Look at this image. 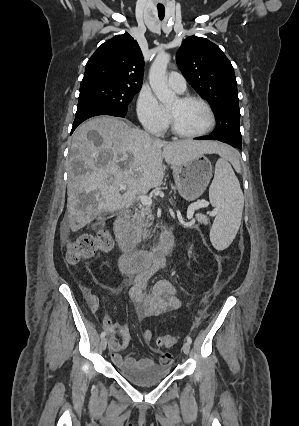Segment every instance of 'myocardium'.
I'll return each mask as SVG.
<instances>
[{
  "label": "myocardium",
  "instance_id": "obj_1",
  "mask_svg": "<svg viewBox=\"0 0 299 426\" xmlns=\"http://www.w3.org/2000/svg\"><path fill=\"white\" fill-rule=\"evenodd\" d=\"M178 100L181 103H187V102H198L200 103L207 111L208 115H209V124L206 127V129H204L201 132L198 133H187L182 131L175 120L174 114L168 110V117H169V123H170V127L172 132L182 138H188V139H193V138H199L202 136L207 135L208 133H210L212 131V129L214 128L215 124H216V118H215V113L212 109V107L210 106V104L203 99L200 96H196V95H182L180 97H178Z\"/></svg>",
  "mask_w": 299,
  "mask_h": 426
}]
</instances>
